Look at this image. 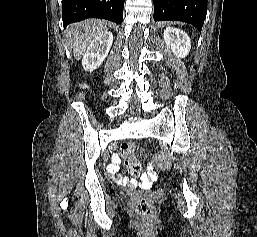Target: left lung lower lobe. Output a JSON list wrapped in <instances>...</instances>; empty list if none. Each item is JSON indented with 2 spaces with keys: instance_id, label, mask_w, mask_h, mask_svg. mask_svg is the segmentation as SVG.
<instances>
[{
  "instance_id": "0a47b994",
  "label": "left lung lower lobe",
  "mask_w": 257,
  "mask_h": 237,
  "mask_svg": "<svg viewBox=\"0 0 257 237\" xmlns=\"http://www.w3.org/2000/svg\"><path fill=\"white\" fill-rule=\"evenodd\" d=\"M208 0H154L155 21H182L202 30Z\"/></svg>"
}]
</instances>
